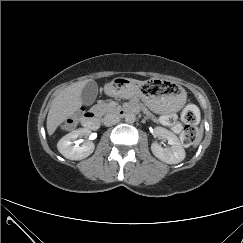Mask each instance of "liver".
I'll list each match as a JSON object with an SVG mask.
<instances>
[{"mask_svg":"<svg viewBox=\"0 0 243 243\" xmlns=\"http://www.w3.org/2000/svg\"><path fill=\"white\" fill-rule=\"evenodd\" d=\"M89 80L76 82L62 90L53 100L47 116V132L52 135L82 105L81 93Z\"/></svg>","mask_w":243,"mask_h":243,"instance_id":"liver-1","label":"liver"}]
</instances>
